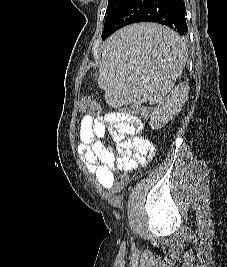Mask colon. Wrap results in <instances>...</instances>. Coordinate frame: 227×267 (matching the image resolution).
<instances>
[{"label": "colon", "instance_id": "1", "mask_svg": "<svg viewBox=\"0 0 227 267\" xmlns=\"http://www.w3.org/2000/svg\"><path fill=\"white\" fill-rule=\"evenodd\" d=\"M81 108L83 111L89 114H95L100 112V106L90 98H83L81 100ZM114 107L113 105L111 106ZM124 113H132L133 116H140L141 120H151V112L149 108V104H138L135 105H123ZM144 124H148V121H144ZM131 169H120L117 173H113V178H116L117 188L120 189L124 182L123 178H130Z\"/></svg>", "mask_w": 227, "mask_h": 267}]
</instances>
